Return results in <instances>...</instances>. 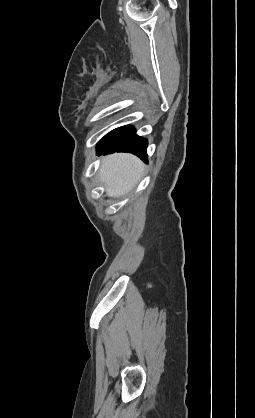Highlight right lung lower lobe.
Wrapping results in <instances>:
<instances>
[{
    "label": "right lung lower lobe",
    "mask_w": 255,
    "mask_h": 418,
    "mask_svg": "<svg viewBox=\"0 0 255 418\" xmlns=\"http://www.w3.org/2000/svg\"><path fill=\"white\" fill-rule=\"evenodd\" d=\"M97 152H130L147 163V140L136 135L132 126H123L105 135L97 144Z\"/></svg>",
    "instance_id": "1"
}]
</instances>
